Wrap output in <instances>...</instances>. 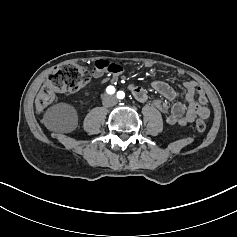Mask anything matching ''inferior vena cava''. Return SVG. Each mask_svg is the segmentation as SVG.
Wrapping results in <instances>:
<instances>
[{
	"label": "inferior vena cava",
	"instance_id": "obj_1",
	"mask_svg": "<svg viewBox=\"0 0 237 237\" xmlns=\"http://www.w3.org/2000/svg\"><path fill=\"white\" fill-rule=\"evenodd\" d=\"M105 98L108 99V103L103 101V105L106 106V107H110V106H112V105H114L116 103V98L115 97L108 96V97H105ZM109 100H112V101H109Z\"/></svg>",
	"mask_w": 237,
	"mask_h": 237
}]
</instances>
